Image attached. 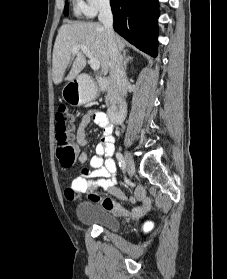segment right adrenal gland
Segmentation results:
<instances>
[{
  "mask_svg": "<svg viewBox=\"0 0 227 279\" xmlns=\"http://www.w3.org/2000/svg\"><path fill=\"white\" fill-rule=\"evenodd\" d=\"M127 53H128V51H127V50H124V51H123V55H122L123 66H124V69H125V70H126V68H127V63H128L129 61H132V60H133V57L127 55Z\"/></svg>",
  "mask_w": 227,
  "mask_h": 279,
  "instance_id": "2a0ac1e0",
  "label": "right adrenal gland"
}]
</instances>
